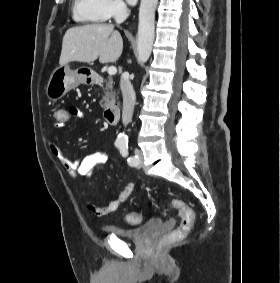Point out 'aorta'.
Wrapping results in <instances>:
<instances>
[{
	"mask_svg": "<svg viewBox=\"0 0 280 283\" xmlns=\"http://www.w3.org/2000/svg\"><path fill=\"white\" fill-rule=\"evenodd\" d=\"M158 0H141L138 25V62L143 64L149 59L155 37V11ZM118 142L126 143L127 136L120 134Z\"/></svg>",
	"mask_w": 280,
	"mask_h": 283,
	"instance_id": "obj_1",
	"label": "aorta"
}]
</instances>
